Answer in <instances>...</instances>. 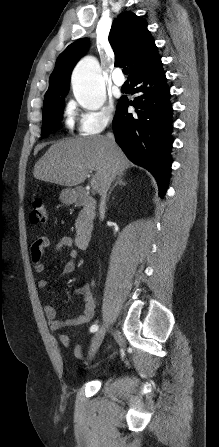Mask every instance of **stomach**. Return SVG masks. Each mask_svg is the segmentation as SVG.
<instances>
[{
    "mask_svg": "<svg viewBox=\"0 0 219 447\" xmlns=\"http://www.w3.org/2000/svg\"><path fill=\"white\" fill-rule=\"evenodd\" d=\"M77 190L76 189H64L60 194V200L65 204H72L77 200Z\"/></svg>",
    "mask_w": 219,
    "mask_h": 447,
    "instance_id": "obj_1",
    "label": "stomach"
}]
</instances>
